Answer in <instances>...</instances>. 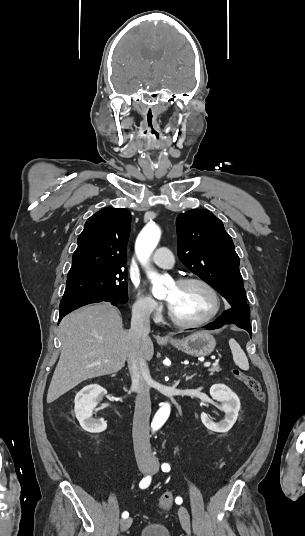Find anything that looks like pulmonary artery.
I'll list each match as a JSON object with an SVG mask.
<instances>
[{
  "instance_id": "1",
  "label": "pulmonary artery",
  "mask_w": 305,
  "mask_h": 536,
  "mask_svg": "<svg viewBox=\"0 0 305 536\" xmlns=\"http://www.w3.org/2000/svg\"><path fill=\"white\" fill-rule=\"evenodd\" d=\"M169 250L165 247L158 248L150 257V261L162 268H171L174 265V258L167 255Z\"/></svg>"
}]
</instances>
